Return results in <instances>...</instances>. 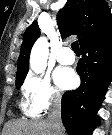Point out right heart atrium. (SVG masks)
Listing matches in <instances>:
<instances>
[{
	"mask_svg": "<svg viewBox=\"0 0 112 135\" xmlns=\"http://www.w3.org/2000/svg\"><path fill=\"white\" fill-rule=\"evenodd\" d=\"M22 91L30 108L38 114L48 111L61 102V93L47 76L29 74Z\"/></svg>",
	"mask_w": 112,
	"mask_h": 135,
	"instance_id": "d8ad5b80",
	"label": "right heart atrium"
}]
</instances>
